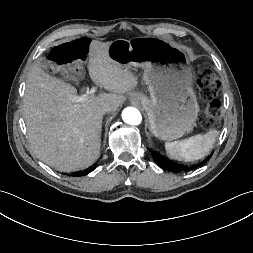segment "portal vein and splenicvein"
Returning <instances> with one entry per match:
<instances>
[{"instance_id":"obj_1","label":"portal vein and splenic vein","mask_w":253,"mask_h":253,"mask_svg":"<svg viewBox=\"0 0 253 253\" xmlns=\"http://www.w3.org/2000/svg\"><path fill=\"white\" fill-rule=\"evenodd\" d=\"M96 89L92 88L90 89L89 94H82L81 96L77 97V102H87L90 100L91 96L95 93Z\"/></svg>"}]
</instances>
